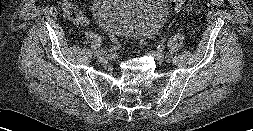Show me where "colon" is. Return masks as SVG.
<instances>
[{
  "instance_id": "colon-1",
  "label": "colon",
  "mask_w": 253,
  "mask_h": 131,
  "mask_svg": "<svg viewBox=\"0 0 253 131\" xmlns=\"http://www.w3.org/2000/svg\"><path fill=\"white\" fill-rule=\"evenodd\" d=\"M188 0H171L170 5L173 9L179 10ZM224 0H208V5L211 7L221 6L223 5ZM109 39L112 43L117 44L118 38L117 35L114 33L109 34Z\"/></svg>"
}]
</instances>
